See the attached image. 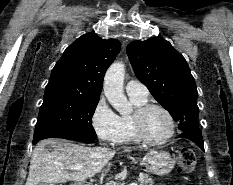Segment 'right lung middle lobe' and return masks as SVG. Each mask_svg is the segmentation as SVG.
Returning a JSON list of instances; mask_svg holds the SVG:
<instances>
[{"label": "right lung middle lobe", "mask_w": 233, "mask_h": 185, "mask_svg": "<svg viewBox=\"0 0 233 185\" xmlns=\"http://www.w3.org/2000/svg\"><path fill=\"white\" fill-rule=\"evenodd\" d=\"M98 102L99 97L64 92L45 93L33 144L48 137L95 140L97 137L91 121Z\"/></svg>", "instance_id": "1"}]
</instances>
